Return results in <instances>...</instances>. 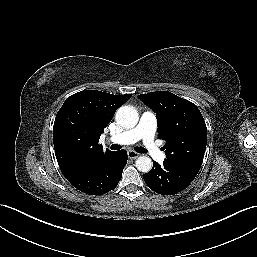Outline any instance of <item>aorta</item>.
<instances>
[{"label": "aorta", "instance_id": "1", "mask_svg": "<svg viewBox=\"0 0 257 257\" xmlns=\"http://www.w3.org/2000/svg\"><path fill=\"white\" fill-rule=\"evenodd\" d=\"M115 119L123 128L131 129L137 125L139 116L135 108L122 106L117 110ZM152 166V160L148 156H140L136 160V168L141 172H149Z\"/></svg>", "mask_w": 257, "mask_h": 257}]
</instances>
